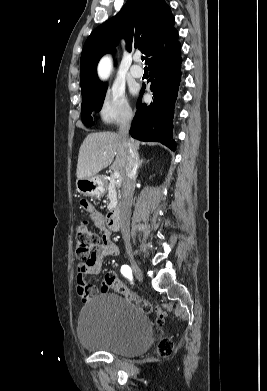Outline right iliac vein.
Wrapping results in <instances>:
<instances>
[{
    "instance_id": "right-iliac-vein-1",
    "label": "right iliac vein",
    "mask_w": 267,
    "mask_h": 391,
    "mask_svg": "<svg viewBox=\"0 0 267 391\" xmlns=\"http://www.w3.org/2000/svg\"><path fill=\"white\" fill-rule=\"evenodd\" d=\"M130 263H131V268L133 270V273H134L135 277L139 281H142L143 280V273H142L139 265L137 264V262L132 257L130 258Z\"/></svg>"
}]
</instances>
